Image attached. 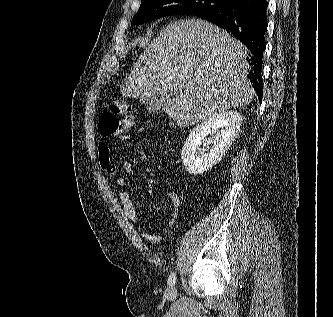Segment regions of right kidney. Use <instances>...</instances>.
I'll use <instances>...</instances> for the list:
<instances>
[{
  "label": "right kidney",
  "instance_id": "1",
  "mask_svg": "<svg viewBox=\"0 0 333 317\" xmlns=\"http://www.w3.org/2000/svg\"><path fill=\"white\" fill-rule=\"evenodd\" d=\"M242 123L241 113L226 111L193 128L181 151L187 172L191 175L203 174L218 163L237 138Z\"/></svg>",
  "mask_w": 333,
  "mask_h": 317
}]
</instances>
